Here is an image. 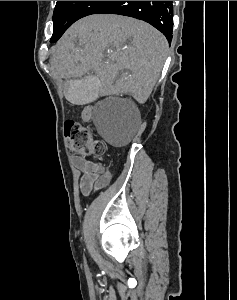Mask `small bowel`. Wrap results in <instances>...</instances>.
<instances>
[{
  "label": "small bowel",
  "mask_w": 237,
  "mask_h": 300,
  "mask_svg": "<svg viewBox=\"0 0 237 300\" xmlns=\"http://www.w3.org/2000/svg\"><path fill=\"white\" fill-rule=\"evenodd\" d=\"M92 116V107L86 106L82 111V119L88 121ZM75 167L82 173L80 190L85 196L106 187L111 180V173L103 166L82 157H73Z\"/></svg>",
  "instance_id": "small-bowel-1"
}]
</instances>
